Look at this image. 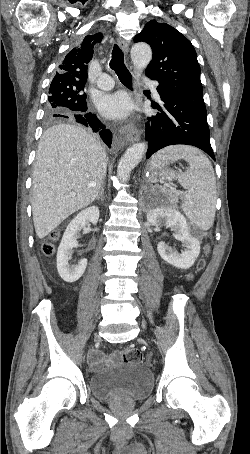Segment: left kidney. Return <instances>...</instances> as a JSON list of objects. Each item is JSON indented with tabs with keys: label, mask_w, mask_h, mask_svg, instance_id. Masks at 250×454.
Wrapping results in <instances>:
<instances>
[{
	"label": "left kidney",
	"mask_w": 250,
	"mask_h": 454,
	"mask_svg": "<svg viewBox=\"0 0 250 454\" xmlns=\"http://www.w3.org/2000/svg\"><path fill=\"white\" fill-rule=\"evenodd\" d=\"M147 221L151 225L165 223L175 231V238L181 241L185 247L184 251L178 253L161 241L157 245L160 256L177 268H190L199 256L200 240L193 233L186 218L175 208L159 207L148 212Z\"/></svg>",
	"instance_id": "left-kidney-1"
}]
</instances>
